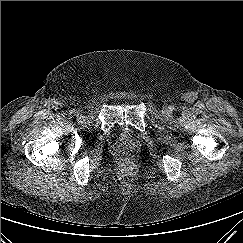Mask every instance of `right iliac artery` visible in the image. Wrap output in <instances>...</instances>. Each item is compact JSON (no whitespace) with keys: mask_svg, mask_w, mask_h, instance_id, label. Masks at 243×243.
<instances>
[{"mask_svg":"<svg viewBox=\"0 0 243 243\" xmlns=\"http://www.w3.org/2000/svg\"><path fill=\"white\" fill-rule=\"evenodd\" d=\"M69 112L70 114H75L76 111L74 109H71Z\"/></svg>","mask_w":243,"mask_h":243,"instance_id":"1","label":"right iliac artery"}]
</instances>
